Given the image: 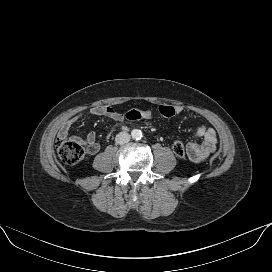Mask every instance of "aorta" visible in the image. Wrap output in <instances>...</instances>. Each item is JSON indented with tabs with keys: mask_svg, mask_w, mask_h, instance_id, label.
<instances>
[{
	"mask_svg": "<svg viewBox=\"0 0 272 272\" xmlns=\"http://www.w3.org/2000/svg\"><path fill=\"white\" fill-rule=\"evenodd\" d=\"M131 136L135 140H140L142 138V132L139 129H133L131 131Z\"/></svg>",
	"mask_w": 272,
	"mask_h": 272,
	"instance_id": "aorta-1",
	"label": "aorta"
}]
</instances>
